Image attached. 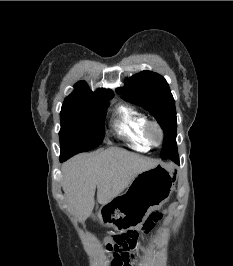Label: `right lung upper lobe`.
<instances>
[{
    "label": "right lung upper lobe",
    "instance_id": "cb5924a9",
    "mask_svg": "<svg viewBox=\"0 0 233 266\" xmlns=\"http://www.w3.org/2000/svg\"><path fill=\"white\" fill-rule=\"evenodd\" d=\"M111 96H113V92L111 90L99 88L96 92H92L88 89L85 81H80L75 84L74 92L66 97L64 103H71L86 99H104Z\"/></svg>",
    "mask_w": 233,
    "mask_h": 266
}]
</instances>
